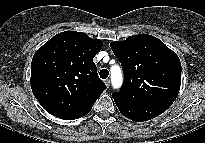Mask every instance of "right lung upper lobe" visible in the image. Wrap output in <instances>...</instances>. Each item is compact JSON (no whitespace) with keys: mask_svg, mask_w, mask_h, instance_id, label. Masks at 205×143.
I'll return each mask as SVG.
<instances>
[{"mask_svg":"<svg viewBox=\"0 0 205 143\" xmlns=\"http://www.w3.org/2000/svg\"><path fill=\"white\" fill-rule=\"evenodd\" d=\"M102 46V41L83 32L65 31L37 50L31 63V89L48 113L74 117L93 106L106 89L93 62Z\"/></svg>","mask_w":205,"mask_h":143,"instance_id":"obj_1","label":"right lung upper lobe"}]
</instances>
